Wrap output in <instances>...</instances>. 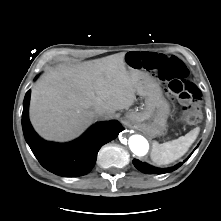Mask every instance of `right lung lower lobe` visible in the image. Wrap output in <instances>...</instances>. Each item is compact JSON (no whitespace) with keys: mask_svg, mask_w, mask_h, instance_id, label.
Wrapping results in <instances>:
<instances>
[{"mask_svg":"<svg viewBox=\"0 0 221 221\" xmlns=\"http://www.w3.org/2000/svg\"><path fill=\"white\" fill-rule=\"evenodd\" d=\"M30 90L23 102L22 128L24 137L40 164L48 171L63 177L87 174L94 167L99 149L115 139L123 130L117 121L93 125L77 140L59 144L41 139L28 119Z\"/></svg>","mask_w":221,"mask_h":221,"instance_id":"98d812e1","label":"right lung lower lobe"}]
</instances>
